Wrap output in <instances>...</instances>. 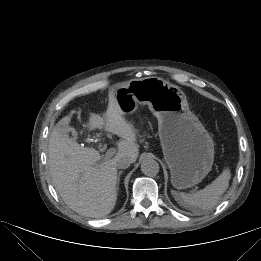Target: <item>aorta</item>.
Returning a JSON list of instances; mask_svg holds the SVG:
<instances>
[{"label":"aorta","mask_w":261,"mask_h":261,"mask_svg":"<svg viewBox=\"0 0 261 261\" xmlns=\"http://www.w3.org/2000/svg\"><path fill=\"white\" fill-rule=\"evenodd\" d=\"M159 164L152 158H146L141 163V171L147 176H155L159 172Z\"/></svg>","instance_id":"aorta-1"}]
</instances>
